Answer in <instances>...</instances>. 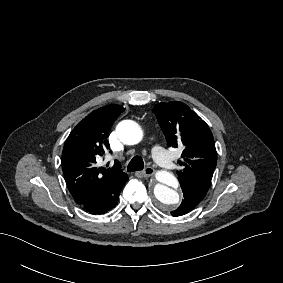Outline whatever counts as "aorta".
Segmentation results:
<instances>
[{
	"label": "aorta",
	"instance_id": "762f6f07",
	"mask_svg": "<svg viewBox=\"0 0 283 283\" xmlns=\"http://www.w3.org/2000/svg\"><path fill=\"white\" fill-rule=\"evenodd\" d=\"M116 133L119 140L126 145L138 144L143 138L141 127L132 120H123L116 127ZM158 183L154 187V196L163 210L175 208L180 196L176 191L178 181L176 177L168 171H159L156 173Z\"/></svg>",
	"mask_w": 283,
	"mask_h": 283
}]
</instances>
